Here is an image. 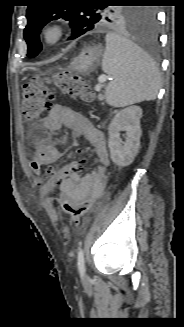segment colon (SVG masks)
Returning a JSON list of instances; mask_svg holds the SVG:
<instances>
[{"label":"colon","instance_id":"obj_1","mask_svg":"<svg viewBox=\"0 0 184 327\" xmlns=\"http://www.w3.org/2000/svg\"><path fill=\"white\" fill-rule=\"evenodd\" d=\"M81 101L90 102L94 98L91 88L84 79L69 72H58L51 79L35 78L28 82L22 92L21 110L25 120L39 117L50 105L54 90ZM60 209L75 218L85 215L92 207L90 201H73L67 197L57 196L51 199Z\"/></svg>","mask_w":184,"mask_h":327}]
</instances>
